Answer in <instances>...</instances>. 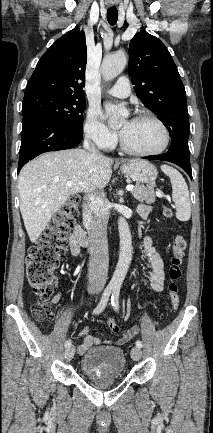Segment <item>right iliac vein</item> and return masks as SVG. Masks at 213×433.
<instances>
[{"label":"right iliac vein","mask_w":213,"mask_h":433,"mask_svg":"<svg viewBox=\"0 0 213 433\" xmlns=\"http://www.w3.org/2000/svg\"><path fill=\"white\" fill-rule=\"evenodd\" d=\"M75 353L74 346H69L64 352V357L67 362L71 361Z\"/></svg>","instance_id":"63e3f726"}]
</instances>
